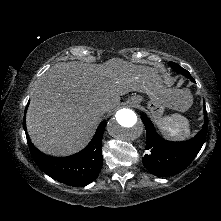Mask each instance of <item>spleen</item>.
<instances>
[{"mask_svg":"<svg viewBox=\"0 0 221 221\" xmlns=\"http://www.w3.org/2000/svg\"><path fill=\"white\" fill-rule=\"evenodd\" d=\"M157 126L161 133L167 138L184 140L190 136L189 121L179 114H173L159 119Z\"/></svg>","mask_w":221,"mask_h":221,"instance_id":"obj_1","label":"spleen"}]
</instances>
